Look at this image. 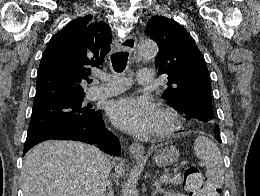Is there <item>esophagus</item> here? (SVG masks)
<instances>
[{
    "instance_id": "1",
    "label": "esophagus",
    "mask_w": 260,
    "mask_h": 196,
    "mask_svg": "<svg viewBox=\"0 0 260 196\" xmlns=\"http://www.w3.org/2000/svg\"><path fill=\"white\" fill-rule=\"evenodd\" d=\"M136 48V41L133 37L128 36L121 40L119 44V49L122 51H134ZM129 152L134 158L144 157V146L141 143H132L129 146Z\"/></svg>"
}]
</instances>
